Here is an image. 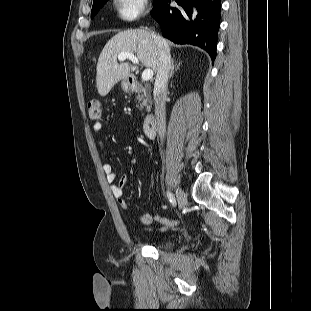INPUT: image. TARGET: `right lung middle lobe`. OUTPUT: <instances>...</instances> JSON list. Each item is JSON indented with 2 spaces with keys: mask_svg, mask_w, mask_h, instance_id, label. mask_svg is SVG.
Segmentation results:
<instances>
[{
  "mask_svg": "<svg viewBox=\"0 0 311 311\" xmlns=\"http://www.w3.org/2000/svg\"><path fill=\"white\" fill-rule=\"evenodd\" d=\"M108 0H96L93 2L92 11H91V18H93L99 9L107 2ZM160 0H154V5L159 2Z\"/></svg>",
  "mask_w": 311,
  "mask_h": 311,
  "instance_id": "obj_1",
  "label": "right lung middle lobe"
}]
</instances>
